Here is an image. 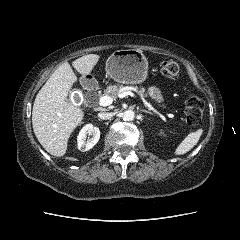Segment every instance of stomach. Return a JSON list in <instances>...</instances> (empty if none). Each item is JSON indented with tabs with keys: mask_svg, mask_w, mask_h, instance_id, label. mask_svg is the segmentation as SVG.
Listing matches in <instances>:
<instances>
[{
	"mask_svg": "<svg viewBox=\"0 0 240 240\" xmlns=\"http://www.w3.org/2000/svg\"><path fill=\"white\" fill-rule=\"evenodd\" d=\"M106 72L118 83L140 84L148 77V61L138 50H117L107 59ZM148 93L156 102L163 101L157 87H149Z\"/></svg>",
	"mask_w": 240,
	"mask_h": 240,
	"instance_id": "obj_1",
	"label": "stomach"
}]
</instances>
